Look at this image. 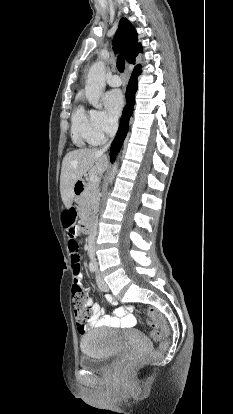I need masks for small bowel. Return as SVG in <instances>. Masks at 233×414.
I'll list each match as a JSON object with an SVG mask.
<instances>
[{
  "mask_svg": "<svg viewBox=\"0 0 233 414\" xmlns=\"http://www.w3.org/2000/svg\"><path fill=\"white\" fill-rule=\"evenodd\" d=\"M77 236L81 235L80 231L76 232ZM70 261L71 266L73 267L74 273V283L72 284V293L79 294L80 288L82 286V270L79 263L78 252L72 251L71 252ZM85 290H90V285H85L82 287ZM105 300L110 305H117L116 300L109 294L105 296ZM87 305L91 311V319H90V326L91 327H109V328H131L136 324V317L131 313L132 307L128 306L126 308L117 307L115 310L110 314H104L102 308L98 303H95L92 298H87ZM88 328H85V331Z\"/></svg>",
  "mask_w": 233,
  "mask_h": 414,
  "instance_id": "obj_1",
  "label": "small bowel"
}]
</instances>
